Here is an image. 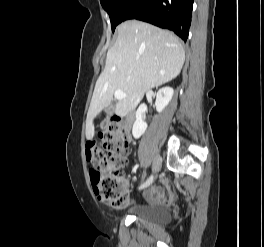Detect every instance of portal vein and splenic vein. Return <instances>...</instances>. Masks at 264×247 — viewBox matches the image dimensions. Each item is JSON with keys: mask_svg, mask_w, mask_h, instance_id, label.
<instances>
[{"mask_svg": "<svg viewBox=\"0 0 264 247\" xmlns=\"http://www.w3.org/2000/svg\"><path fill=\"white\" fill-rule=\"evenodd\" d=\"M114 97L115 99L121 100L125 99L127 95L122 90H115Z\"/></svg>", "mask_w": 264, "mask_h": 247, "instance_id": "obj_1", "label": "portal vein and splenic vein"}]
</instances>
